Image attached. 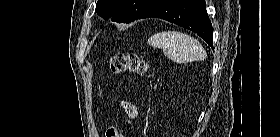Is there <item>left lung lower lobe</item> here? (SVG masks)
I'll return each mask as SVG.
<instances>
[{"mask_svg": "<svg viewBox=\"0 0 280 137\" xmlns=\"http://www.w3.org/2000/svg\"><path fill=\"white\" fill-rule=\"evenodd\" d=\"M150 17L161 18L189 29L213 47V29L205 0H160L141 18Z\"/></svg>", "mask_w": 280, "mask_h": 137, "instance_id": "obj_1", "label": "left lung lower lobe"}]
</instances>
